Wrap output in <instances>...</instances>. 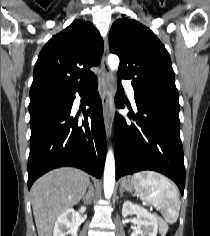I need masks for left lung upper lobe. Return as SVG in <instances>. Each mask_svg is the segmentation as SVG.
Masks as SVG:
<instances>
[{"instance_id": "left-lung-upper-lobe-1", "label": "left lung upper lobe", "mask_w": 210, "mask_h": 236, "mask_svg": "<svg viewBox=\"0 0 210 236\" xmlns=\"http://www.w3.org/2000/svg\"><path fill=\"white\" fill-rule=\"evenodd\" d=\"M109 47L120 58L118 78L131 80L135 95L178 99L170 56L149 28L132 19H119L111 27Z\"/></svg>"}]
</instances>
